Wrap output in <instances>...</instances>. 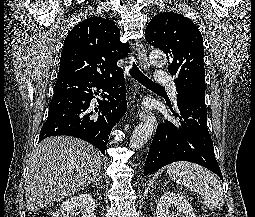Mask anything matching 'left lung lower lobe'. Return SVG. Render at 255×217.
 <instances>
[{"instance_id": "left-lung-lower-lobe-1", "label": "left lung lower lobe", "mask_w": 255, "mask_h": 217, "mask_svg": "<svg viewBox=\"0 0 255 217\" xmlns=\"http://www.w3.org/2000/svg\"><path fill=\"white\" fill-rule=\"evenodd\" d=\"M177 105L179 114L174 115L178 122L167 120L157 126L144 175L176 161H188L209 169L223 180L207 129L205 99L178 92Z\"/></svg>"}]
</instances>
